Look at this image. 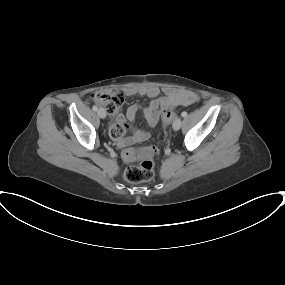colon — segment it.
Segmentation results:
<instances>
[{"label": "colon", "mask_w": 285, "mask_h": 285, "mask_svg": "<svg viewBox=\"0 0 285 285\" xmlns=\"http://www.w3.org/2000/svg\"><path fill=\"white\" fill-rule=\"evenodd\" d=\"M93 99L111 114L119 110L123 101L120 94L112 91H98L94 93ZM173 120L174 114L169 110L165 111L163 124L168 126ZM124 133L123 128H115L110 131L111 137L115 140L121 139ZM157 151L155 145L126 148L122 153L123 158L127 161L140 160V163L130 165L125 169V179L131 183L150 181L154 176V157Z\"/></svg>", "instance_id": "1"}]
</instances>
